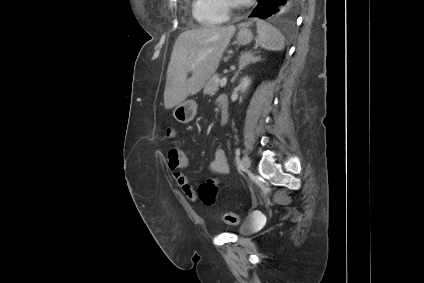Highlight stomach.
<instances>
[{"mask_svg": "<svg viewBox=\"0 0 424 283\" xmlns=\"http://www.w3.org/2000/svg\"><path fill=\"white\" fill-rule=\"evenodd\" d=\"M253 39L252 32L243 28L240 29L237 35V41L240 45H247ZM197 113V103L194 100H187L179 104L173 111L174 118L183 124L192 121Z\"/></svg>", "mask_w": 424, "mask_h": 283, "instance_id": "1", "label": "stomach"}]
</instances>
